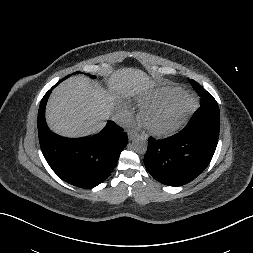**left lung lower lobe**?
Listing matches in <instances>:
<instances>
[{"mask_svg":"<svg viewBox=\"0 0 253 253\" xmlns=\"http://www.w3.org/2000/svg\"><path fill=\"white\" fill-rule=\"evenodd\" d=\"M220 128L219 108L205 106L193 114L186 127L164 140L148 139L144 164L160 183L181 186L194 180L209 165Z\"/></svg>","mask_w":253,"mask_h":253,"instance_id":"left-lung-lower-lobe-1","label":"left lung lower lobe"}]
</instances>
